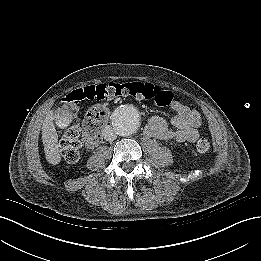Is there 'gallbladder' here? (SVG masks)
Here are the masks:
<instances>
[{"label":"gallbladder","instance_id":"obj_1","mask_svg":"<svg viewBox=\"0 0 261 261\" xmlns=\"http://www.w3.org/2000/svg\"><path fill=\"white\" fill-rule=\"evenodd\" d=\"M55 120L59 127L65 128L70 124V122L72 120V115L66 109H59L55 116Z\"/></svg>","mask_w":261,"mask_h":261}]
</instances>
